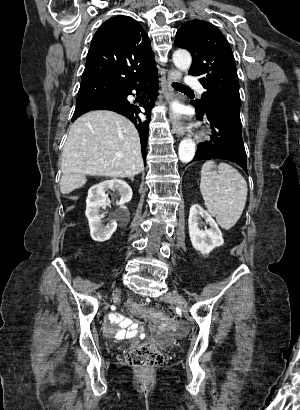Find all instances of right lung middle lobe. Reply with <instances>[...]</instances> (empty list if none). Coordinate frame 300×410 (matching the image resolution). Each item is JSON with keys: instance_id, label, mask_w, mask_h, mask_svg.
Wrapping results in <instances>:
<instances>
[{"instance_id": "1", "label": "right lung middle lobe", "mask_w": 300, "mask_h": 410, "mask_svg": "<svg viewBox=\"0 0 300 410\" xmlns=\"http://www.w3.org/2000/svg\"><path fill=\"white\" fill-rule=\"evenodd\" d=\"M125 90L102 82H81L76 104L90 99L112 97L124 99Z\"/></svg>"}]
</instances>
